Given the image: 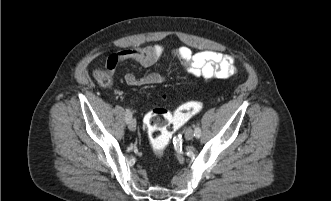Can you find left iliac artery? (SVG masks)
Wrapping results in <instances>:
<instances>
[{
    "instance_id": "1",
    "label": "left iliac artery",
    "mask_w": 331,
    "mask_h": 201,
    "mask_svg": "<svg viewBox=\"0 0 331 201\" xmlns=\"http://www.w3.org/2000/svg\"><path fill=\"white\" fill-rule=\"evenodd\" d=\"M194 136L196 138H200V136H201V129L198 126L195 128Z\"/></svg>"
}]
</instances>
